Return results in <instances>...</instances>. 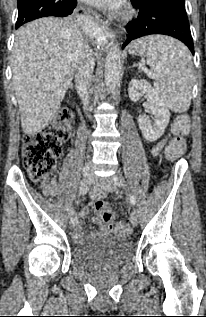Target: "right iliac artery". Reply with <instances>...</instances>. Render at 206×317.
Listing matches in <instances>:
<instances>
[{
	"mask_svg": "<svg viewBox=\"0 0 206 317\" xmlns=\"http://www.w3.org/2000/svg\"><path fill=\"white\" fill-rule=\"evenodd\" d=\"M89 188H90V185H88V184L82 185L80 190H79V195H85L88 192ZM74 215H75V211L73 208H71L70 212H69L70 218H73Z\"/></svg>",
	"mask_w": 206,
	"mask_h": 317,
	"instance_id": "82829eb1",
	"label": "right iliac artery"
}]
</instances>
